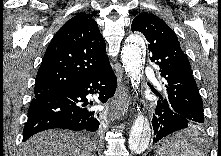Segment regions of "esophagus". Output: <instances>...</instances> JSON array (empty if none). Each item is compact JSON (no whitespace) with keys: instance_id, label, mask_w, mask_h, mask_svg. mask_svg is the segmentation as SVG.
<instances>
[{"instance_id":"34e87169","label":"esophagus","mask_w":221,"mask_h":156,"mask_svg":"<svg viewBox=\"0 0 221 156\" xmlns=\"http://www.w3.org/2000/svg\"><path fill=\"white\" fill-rule=\"evenodd\" d=\"M131 104V97L129 94L128 87L124 84L117 91L115 100L112 106V113L116 119H120L125 113L128 112Z\"/></svg>"}]
</instances>
